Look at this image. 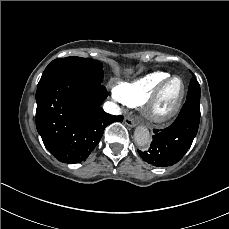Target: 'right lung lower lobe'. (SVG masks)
<instances>
[{
  "mask_svg": "<svg viewBox=\"0 0 229 229\" xmlns=\"http://www.w3.org/2000/svg\"><path fill=\"white\" fill-rule=\"evenodd\" d=\"M102 82L79 75H62L36 92V127L47 150L59 161L85 160L99 143L103 131L123 116L100 107L107 97Z\"/></svg>",
  "mask_w": 229,
  "mask_h": 229,
  "instance_id": "right-lung-lower-lobe-1",
  "label": "right lung lower lobe"
}]
</instances>
